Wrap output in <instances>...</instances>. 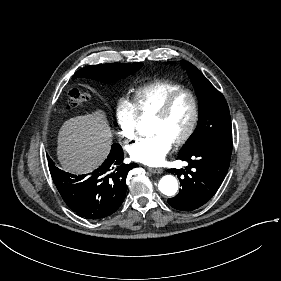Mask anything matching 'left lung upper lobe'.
<instances>
[{"mask_svg":"<svg viewBox=\"0 0 281 281\" xmlns=\"http://www.w3.org/2000/svg\"><path fill=\"white\" fill-rule=\"evenodd\" d=\"M181 64L186 69L198 97L199 120L195 131L179 153L209 147L231 155L232 127L224 96L194 65L185 60Z\"/></svg>","mask_w":281,"mask_h":281,"instance_id":"5c2ea615","label":"left lung upper lobe"}]
</instances>
